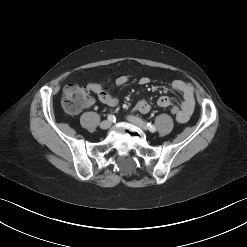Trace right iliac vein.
Segmentation results:
<instances>
[{
  "label": "right iliac vein",
  "instance_id": "obj_1",
  "mask_svg": "<svg viewBox=\"0 0 247 247\" xmlns=\"http://www.w3.org/2000/svg\"><path fill=\"white\" fill-rule=\"evenodd\" d=\"M111 124H112L111 121L104 120L101 122L100 128L106 130V129L110 128Z\"/></svg>",
  "mask_w": 247,
  "mask_h": 247
}]
</instances>
